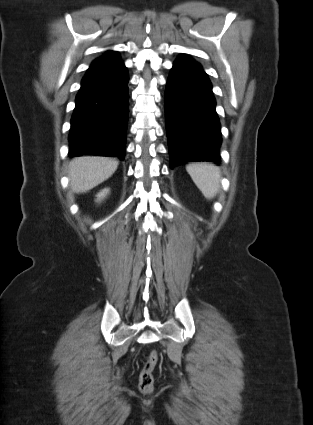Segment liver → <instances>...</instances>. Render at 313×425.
Masks as SVG:
<instances>
[{"mask_svg": "<svg viewBox=\"0 0 313 425\" xmlns=\"http://www.w3.org/2000/svg\"><path fill=\"white\" fill-rule=\"evenodd\" d=\"M119 162L108 157L84 156L71 161L69 178L76 193L87 192L113 175Z\"/></svg>", "mask_w": 313, "mask_h": 425, "instance_id": "6515ba94", "label": "liver"}]
</instances>
